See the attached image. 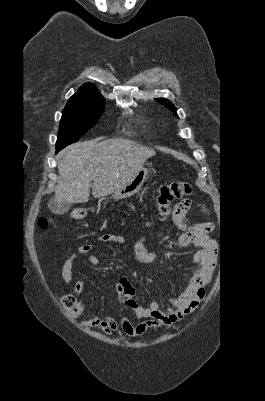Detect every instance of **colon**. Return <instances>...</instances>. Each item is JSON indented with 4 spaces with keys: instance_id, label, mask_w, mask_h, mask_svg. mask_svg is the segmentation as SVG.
<instances>
[{
    "instance_id": "1",
    "label": "colon",
    "mask_w": 265,
    "mask_h": 401,
    "mask_svg": "<svg viewBox=\"0 0 265 401\" xmlns=\"http://www.w3.org/2000/svg\"><path fill=\"white\" fill-rule=\"evenodd\" d=\"M192 187L188 182H172L164 184L159 188L156 201L158 205L159 218L164 220L169 212L171 203L174 200L183 199L190 195ZM86 215V211L83 208H75L71 211V218L73 220H82ZM50 221L47 219H40L38 225L41 229L46 230L49 226ZM62 304L68 314L71 317H76L82 310L81 303L75 299L72 295H65L62 297Z\"/></svg>"
}]
</instances>
